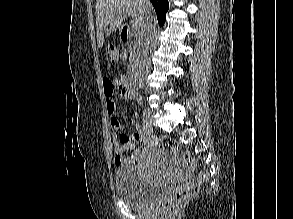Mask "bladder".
I'll return each mask as SVG.
<instances>
[{
    "instance_id": "1",
    "label": "bladder",
    "mask_w": 293,
    "mask_h": 219,
    "mask_svg": "<svg viewBox=\"0 0 293 219\" xmlns=\"http://www.w3.org/2000/svg\"><path fill=\"white\" fill-rule=\"evenodd\" d=\"M165 155V153H161ZM165 179H149L133 165L120 166L114 174L117 197L128 206L143 207L166 187Z\"/></svg>"
}]
</instances>
